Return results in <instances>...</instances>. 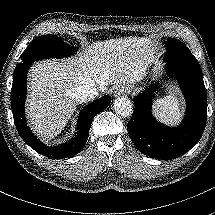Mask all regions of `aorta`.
<instances>
[{"label": "aorta", "mask_w": 215, "mask_h": 215, "mask_svg": "<svg viewBox=\"0 0 215 215\" xmlns=\"http://www.w3.org/2000/svg\"><path fill=\"white\" fill-rule=\"evenodd\" d=\"M115 113L123 118H130L133 115V105L128 98H118L114 103Z\"/></svg>", "instance_id": "aorta-1"}]
</instances>
